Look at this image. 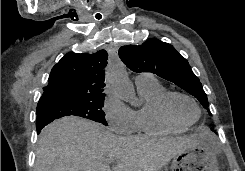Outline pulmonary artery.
Returning a JSON list of instances; mask_svg holds the SVG:
<instances>
[{"label": "pulmonary artery", "mask_w": 245, "mask_h": 171, "mask_svg": "<svg viewBox=\"0 0 245 171\" xmlns=\"http://www.w3.org/2000/svg\"><path fill=\"white\" fill-rule=\"evenodd\" d=\"M153 79H155L153 75L149 73H141L135 77V82L136 84H140V83L147 82Z\"/></svg>", "instance_id": "1"}]
</instances>
